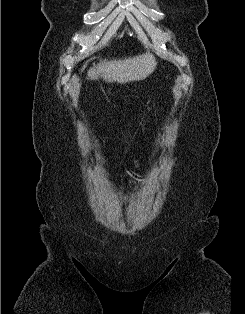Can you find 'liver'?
I'll return each instance as SVG.
<instances>
[{
    "instance_id": "liver-1",
    "label": "liver",
    "mask_w": 245,
    "mask_h": 314,
    "mask_svg": "<svg viewBox=\"0 0 245 314\" xmlns=\"http://www.w3.org/2000/svg\"><path fill=\"white\" fill-rule=\"evenodd\" d=\"M156 65V59L150 53L118 60L105 59L89 69L87 79L98 80L101 77L109 83L125 84L145 79L154 72Z\"/></svg>"
}]
</instances>
